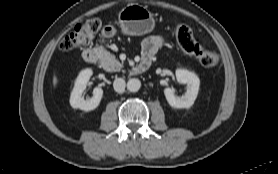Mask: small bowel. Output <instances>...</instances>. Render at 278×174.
<instances>
[{
	"mask_svg": "<svg viewBox=\"0 0 278 174\" xmlns=\"http://www.w3.org/2000/svg\"><path fill=\"white\" fill-rule=\"evenodd\" d=\"M164 45L165 39L162 36L155 35L145 38L142 42L143 57H153Z\"/></svg>",
	"mask_w": 278,
	"mask_h": 174,
	"instance_id": "small-bowel-1",
	"label": "small bowel"
}]
</instances>
